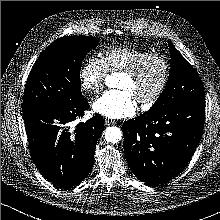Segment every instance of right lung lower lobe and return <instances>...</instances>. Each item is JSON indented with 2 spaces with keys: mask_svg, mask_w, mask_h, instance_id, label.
Instances as JSON below:
<instances>
[{
  "mask_svg": "<svg viewBox=\"0 0 220 220\" xmlns=\"http://www.w3.org/2000/svg\"><path fill=\"white\" fill-rule=\"evenodd\" d=\"M89 108L86 99L71 106L44 105L23 109L29 150L39 172L60 188L77 185L91 171L95 146L104 129L96 114L75 129L70 123Z\"/></svg>",
  "mask_w": 220,
  "mask_h": 220,
  "instance_id": "right-lung-lower-lobe-1",
  "label": "right lung lower lobe"
}]
</instances>
